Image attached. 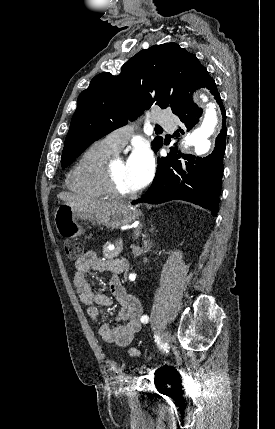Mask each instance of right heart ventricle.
I'll return each instance as SVG.
<instances>
[{"mask_svg": "<svg viewBox=\"0 0 275 429\" xmlns=\"http://www.w3.org/2000/svg\"><path fill=\"white\" fill-rule=\"evenodd\" d=\"M115 153L101 141L89 146L71 170L67 185L81 196L91 199L108 197L105 185L107 159Z\"/></svg>", "mask_w": 275, "mask_h": 429, "instance_id": "e07e8e85", "label": "right heart ventricle"}]
</instances>
